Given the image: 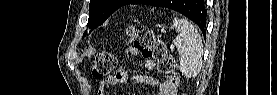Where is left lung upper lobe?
Instances as JSON below:
<instances>
[{"instance_id": "obj_1", "label": "left lung upper lobe", "mask_w": 277, "mask_h": 95, "mask_svg": "<svg viewBox=\"0 0 277 95\" xmlns=\"http://www.w3.org/2000/svg\"><path fill=\"white\" fill-rule=\"evenodd\" d=\"M132 0H91L89 6V19L87 26L92 30L100 26L117 9L128 5ZM175 0H172L174 3ZM168 5H171L169 3ZM153 6L162 7L161 3H155Z\"/></svg>"}]
</instances>
